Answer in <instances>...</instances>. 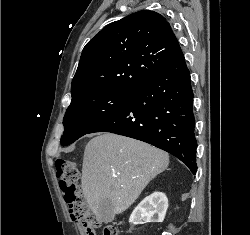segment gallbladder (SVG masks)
I'll use <instances>...</instances> for the list:
<instances>
[{"instance_id": "1", "label": "gallbladder", "mask_w": 250, "mask_h": 235, "mask_svg": "<svg viewBox=\"0 0 250 235\" xmlns=\"http://www.w3.org/2000/svg\"><path fill=\"white\" fill-rule=\"evenodd\" d=\"M115 217L114 204L109 199H104L100 203L99 218L101 222H111Z\"/></svg>"}]
</instances>
